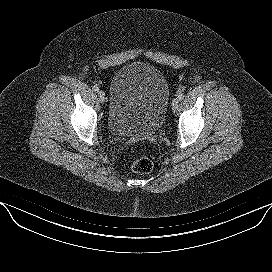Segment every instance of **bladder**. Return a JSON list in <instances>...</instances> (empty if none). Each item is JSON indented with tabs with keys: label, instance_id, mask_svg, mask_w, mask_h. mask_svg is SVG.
Listing matches in <instances>:
<instances>
[{
	"label": "bladder",
	"instance_id": "1",
	"mask_svg": "<svg viewBox=\"0 0 272 272\" xmlns=\"http://www.w3.org/2000/svg\"><path fill=\"white\" fill-rule=\"evenodd\" d=\"M170 100L165 75L145 62L120 68L110 84L107 127L116 136L141 139L162 127Z\"/></svg>",
	"mask_w": 272,
	"mask_h": 272
}]
</instances>
